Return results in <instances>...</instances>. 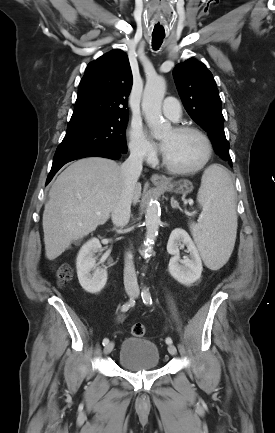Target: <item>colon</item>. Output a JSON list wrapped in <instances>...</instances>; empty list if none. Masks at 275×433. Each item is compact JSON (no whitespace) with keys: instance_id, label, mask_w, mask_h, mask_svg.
<instances>
[{"instance_id":"obj_1","label":"colon","mask_w":275,"mask_h":433,"mask_svg":"<svg viewBox=\"0 0 275 433\" xmlns=\"http://www.w3.org/2000/svg\"><path fill=\"white\" fill-rule=\"evenodd\" d=\"M72 277V269L67 264H62L56 269V278L61 285L66 284ZM146 332L145 326L141 323L133 324L131 333L135 337H143Z\"/></svg>"}]
</instances>
